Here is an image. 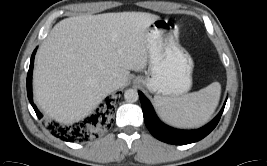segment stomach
I'll use <instances>...</instances> for the list:
<instances>
[{
    "label": "stomach",
    "instance_id": "stomach-1",
    "mask_svg": "<svg viewBox=\"0 0 267 166\" xmlns=\"http://www.w3.org/2000/svg\"><path fill=\"white\" fill-rule=\"evenodd\" d=\"M148 70L142 83L158 96L176 97L192 86L193 60L179 44L178 29L169 20L154 21L147 31Z\"/></svg>",
    "mask_w": 267,
    "mask_h": 166
}]
</instances>
